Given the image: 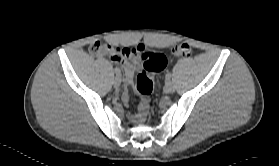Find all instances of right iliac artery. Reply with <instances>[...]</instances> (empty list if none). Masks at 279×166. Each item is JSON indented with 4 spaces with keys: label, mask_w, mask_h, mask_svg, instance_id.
Returning a JSON list of instances; mask_svg holds the SVG:
<instances>
[{
    "label": "right iliac artery",
    "mask_w": 279,
    "mask_h": 166,
    "mask_svg": "<svg viewBox=\"0 0 279 166\" xmlns=\"http://www.w3.org/2000/svg\"><path fill=\"white\" fill-rule=\"evenodd\" d=\"M114 72H115V74H116L117 76L120 75V69H119V68H115V69H114Z\"/></svg>",
    "instance_id": "obj_1"
}]
</instances>
